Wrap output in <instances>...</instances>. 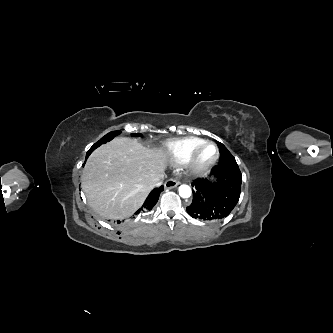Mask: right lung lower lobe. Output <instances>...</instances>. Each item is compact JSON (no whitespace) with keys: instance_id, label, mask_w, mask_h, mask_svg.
<instances>
[{"instance_id":"obj_1","label":"right lung lower lobe","mask_w":333,"mask_h":333,"mask_svg":"<svg viewBox=\"0 0 333 333\" xmlns=\"http://www.w3.org/2000/svg\"><path fill=\"white\" fill-rule=\"evenodd\" d=\"M95 149V146H92L87 154H86V160L88 158V156L91 154V152ZM85 160V161H86ZM85 164V163H84ZM163 191V186H161L160 188H155L151 191V193L148 195L147 199L145 200L143 206L136 212V214L139 213H144V212H148L150 211L155 204L158 201L159 195L160 193ZM120 222V221H119Z\"/></svg>"}]
</instances>
